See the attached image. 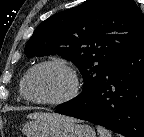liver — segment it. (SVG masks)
Returning <instances> with one entry per match:
<instances>
[{"mask_svg": "<svg viewBox=\"0 0 144 137\" xmlns=\"http://www.w3.org/2000/svg\"><path fill=\"white\" fill-rule=\"evenodd\" d=\"M27 118L32 119L33 121H46V120L49 121V120L66 119L68 117L56 113L35 112L29 114Z\"/></svg>", "mask_w": 144, "mask_h": 137, "instance_id": "1", "label": "liver"}]
</instances>
